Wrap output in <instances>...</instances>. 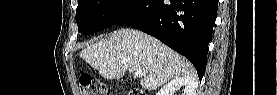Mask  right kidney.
<instances>
[{"mask_svg": "<svg viewBox=\"0 0 277 95\" xmlns=\"http://www.w3.org/2000/svg\"><path fill=\"white\" fill-rule=\"evenodd\" d=\"M181 87H184V95H196L197 82L189 76L171 80L156 95H173Z\"/></svg>", "mask_w": 277, "mask_h": 95, "instance_id": "right-kidney-1", "label": "right kidney"}]
</instances>
